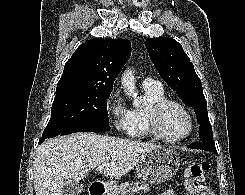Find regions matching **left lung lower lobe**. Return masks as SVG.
<instances>
[{"mask_svg":"<svg viewBox=\"0 0 245 195\" xmlns=\"http://www.w3.org/2000/svg\"><path fill=\"white\" fill-rule=\"evenodd\" d=\"M189 148H192V149H200V150H206V151H211V152H214L216 155H218L216 149L214 148V146H211L207 143H204V142H197V143H194V144H191L190 146H188Z\"/></svg>","mask_w":245,"mask_h":195,"instance_id":"0a47b994","label":"left lung lower lobe"}]
</instances>
